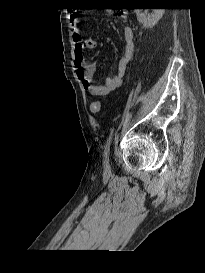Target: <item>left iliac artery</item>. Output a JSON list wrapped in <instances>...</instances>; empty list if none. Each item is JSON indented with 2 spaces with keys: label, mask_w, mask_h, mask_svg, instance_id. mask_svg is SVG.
<instances>
[{
  "label": "left iliac artery",
  "mask_w": 205,
  "mask_h": 273,
  "mask_svg": "<svg viewBox=\"0 0 205 273\" xmlns=\"http://www.w3.org/2000/svg\"><path fill=\"white\" fill-rule=\"evenodd\" d=\"M113 135H114V133L112 132L111 135L109 136L107 142H106V145H105L104 155H105L106 158H107V156L109 154V151H110V145H111L112 140H113Z\"/></svg>",
  "instance_id": "obj_1"
}]
</instances>
